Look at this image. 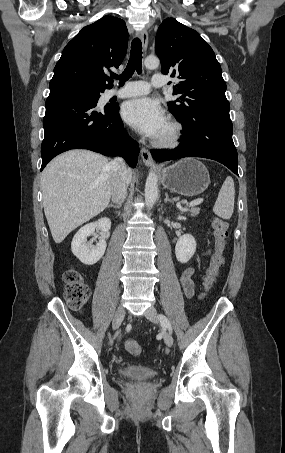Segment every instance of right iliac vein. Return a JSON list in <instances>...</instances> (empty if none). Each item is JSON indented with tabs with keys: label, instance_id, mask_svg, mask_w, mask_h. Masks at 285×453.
<instances>
[{
	"label": "right iliac vein",
	"instance_id": "1",
	"mask_svg": "<svg viewBox=\"0 0 285 453\" xmlns=\"http://www.w3.org/2000/svg\"><path fill=\"white\" fill-rule=\"evenodd\" d=\"M124 316H125V309L123 308V306H119L115 312V315H114V318L112 321V328L114 330H116L120 327L122 321L124 320Z\"/></svg>",
	"mask_w": 285,
	"mask_h": 453
}]
</instances>
